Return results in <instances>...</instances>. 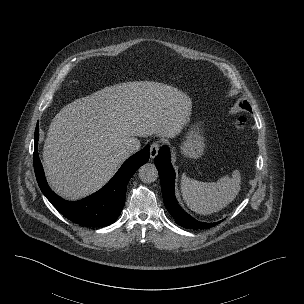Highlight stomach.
Masks as SVG:
<instances>
[{"label":"stomach","instance_id":"obj_1","mask_svg":"<svg viewBox=\"0 0 304 304\" xmlns=\"http://www.w3.org/2000/svg\"><path fill=\"white\" fill-rule=\"evenodd\" d=\"M201 124L192 126L185 135V139L180 147L181 153L188 158L198 159L205 151L206 143Z\"/></svg>","mask_w":304,"mask_h":304}]
</instances>
